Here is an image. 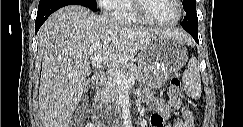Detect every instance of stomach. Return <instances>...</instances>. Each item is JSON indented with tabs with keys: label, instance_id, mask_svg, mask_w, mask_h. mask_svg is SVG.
I'll list each match as a JSON object with an SVG mask.
<instances>
[{
	"label": "stomach",
	"instance_id": "1",
	"mask_svg": "<svg viewBox=\"0 0 243 127\" xmlns=\"http://www.w3.org/2000/svg\"><path fill=\"white\" fill-rule=\"evenodd\" d=\"M187 60L188 52L181 42L169 36H155L140 50L138 67L143 81L153 88H160Z\"/></svg>",
	"mask_w": 243,
	"mask_h": 127
}]
</instances>
